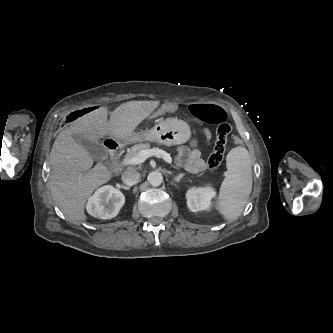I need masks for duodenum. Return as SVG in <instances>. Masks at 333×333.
<instances>
[{
    "label": "duodenum",
    "mask_w": 333,
    "mask_h": 333,
    "mask_svg": "<svg viewBox=\"0 0 333 333\" xmlns=\"http://www.w3.org/2000/svg\"><path fill=\"white\" fill-rule=\"evenodd\" d=\"M107 147L109 149L110 155L113 158H116V154H117V150H118V144L113 142V141H109L107 143ZM118 169H119V167L117 165H115V170H118Z\"/></svg>",
    "instance_id": "obj_1"
}]
</instances>
